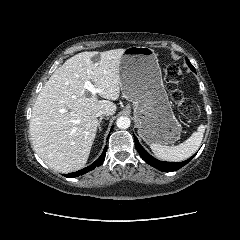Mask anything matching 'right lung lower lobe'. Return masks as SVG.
Returning <instances> with one entry per match:
<instances>
[{
	"label": "right lung lower lobe",
	"mask_w": 240,
	"mask_h": 240,
	"mask_svg": "<svg viewBox=\"0 0 240 240\" xmlns=\"http://www.w3.org/2000/svg\"><path fill=\"white\" fill-rule=\"evenodd\" d=\"M112 128H111V130H112ZM106 151H107V147L104 148L103 153L100 155V157L92 165H90V166H88V167H86L84 169H81V170H79L77 172L69 173V174H67V176L71 177V178L76 177V176H80V175H82V174H84V173H86L88 171L93 170L95 167L100 166L104 162V160H105Z\"/></svg>",
	"instance_id": "obj_1"
}]
</instances>
